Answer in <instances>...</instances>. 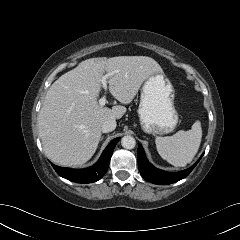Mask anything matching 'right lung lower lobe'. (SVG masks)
Returning <instances> with one entry per match:
<instances>
[{
    "instance_id": "1",
    "label": "right lung lower lobe",
    "mask_w": 240,
    "mask_h": 240,
    "mask_svg": "<svg viewBox=\"0 0 240 240\" xmlns=\"http://www.w3.org/2000/svg\"><path fill=\"white\" fill-rule=\"evenodd\" d=\"M119 138L112 140L103 151L98 162L86 169L74 170L71 168L59 167L51 163L55 171L61 177L76 183H92L98 181L107 172L113 150Z\"/></svg>"
}]
</instances>
